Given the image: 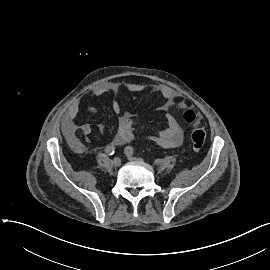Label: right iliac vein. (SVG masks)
<instances>
[{
	"label": "right iliac vein",
	"mask_w": 270,
	"mask_h": 270,
	"mask_svg": "<svg viewBox=\"0 0 270 270\" xmlns=\"http://www.w3.org/2000/svg\"><path fill=\"white\" fill-rule=\"evenodd\" d=\"M111 165L113 167H119L121 165V159L119 157H115L112 161H111Z\"/></svg>",
	"instance_id": "right-iliac-vein-1"
}]
</instances>
